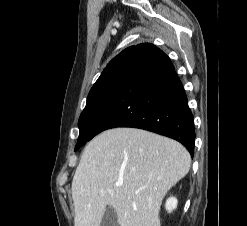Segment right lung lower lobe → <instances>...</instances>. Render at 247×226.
Listing matches in <instances>:
<instances>
[{
	"mask_svg": "<svg viewBox=\"0 0 247 226\" xmlns=\"http://www.w3.org/2000/svg\"><path fill=\"white\" fill-rule=\"evenodd\" d=\"M115 127L152 131L182 143L194 154V121L170 58L153 44L134 47L91 139Z\"/></svg>",
	"mask_w": 247,
	"mask_h": 226,
	"instance_id": "98d812e1",
	"label": "right lung lower lobe"
}]
</instances>
